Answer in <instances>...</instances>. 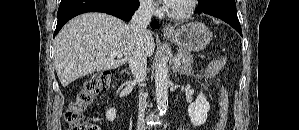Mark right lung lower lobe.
Wrapping results in <instances>:
<instances>
[{
  "instance_id": "obj_1",
  "label": "right lung lower lobe",
  "mask_w": 299,
  "mask_h": 130,
  "mask_svg": "<svg viewBox=\"0 0 299 130\" xmlns=\"http://www.w3.org/2000/svg\"><path fill=\"white\" fill-rule=\"evenodd\" d=\"M138 0H61L54 36L71 18L86 12H103L129 21L138 9ZM152 28L158 24L152 23Z\"/></svg>"
}]
</instances>
